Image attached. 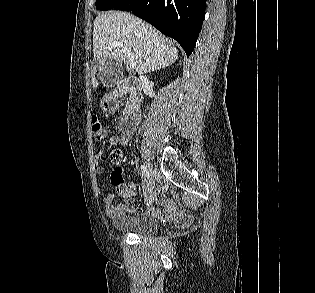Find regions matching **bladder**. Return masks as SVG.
<instances>
[{
  "instance_id": "bladder-1",
  "label": "bladder",
  "mask_w": 315,
  "mask_h": 293,
  "mask_svg": "<svg viewBox=\"0 0 315 293\" xmlns=\"http://www.w3.org/2000/svg\"><path fill=\"white\" fill-rule=\"evenodd\" d=\"M113 227L123 233L151 235L158 231L156 220L141 215H117L112 219Z\"/></svg>"
}]
</instances>
